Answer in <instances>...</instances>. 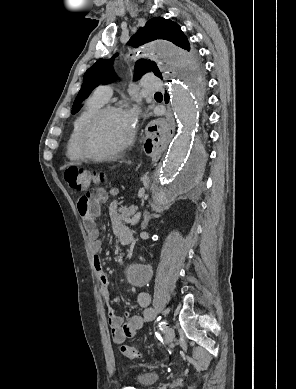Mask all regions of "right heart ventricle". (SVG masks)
Masks as SVG:
<instances>
[{
	"label": "right heart ventricle",
	"mask_w": 296,
	"mask_h": 389,
	"mask_svg": "<svg viewBox=\"0 0 296 389\" xmlns=\"http://www.w3.org/2000/svg\"><path fill=\"white\" fill-rule=\"evenodd\" d=\"M105 103L106 102L102 101L95 95H92L87 99L83 110L75 119L66 145V155L71 161L83 160L84 156L82 155L79 148V138L81 131L89 118L99 109H101Z\"/></svg>",
	"instance_id": "e07e8e85"
}]
</instances>
